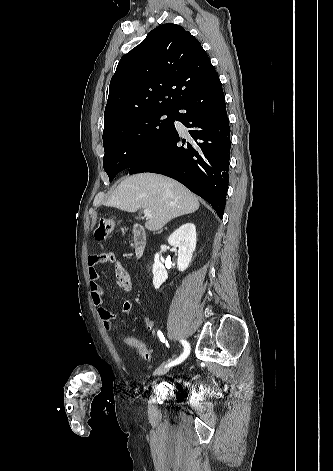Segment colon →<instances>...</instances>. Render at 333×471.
Returning a JSON list of instances; mask_svg holds the SVG:
<instances>
[{
  "instance_id": "colon-1",
  "label": "colon",
  "mask_w": 333,
  "mask_h": 471,
  "mask_svg": "<svg viewBox=\"0 0 333 471\" xmlns=\"http://www.w3.org/2000/svg\"><path fill=\"white\" fill-rule=\"evenodd\" d=\"M117 221L114 218H103L98 222L94 236L97 240L105 239L115 228ZM123 345L130 347L138 352L144 360H150L151 353L144 342L133 336H124L121 338Z\"/></svg>"
}]
</instances>
